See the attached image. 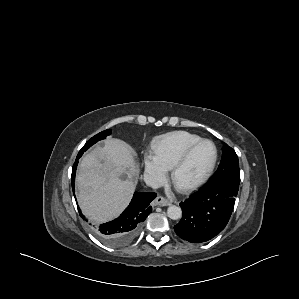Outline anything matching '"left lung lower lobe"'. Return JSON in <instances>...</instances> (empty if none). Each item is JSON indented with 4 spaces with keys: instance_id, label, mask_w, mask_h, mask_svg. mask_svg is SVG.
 Returning <instances> with one entry per match:
<instances>
[{
    "instance_id": "0a47b994",
    "label": "left lung lower lobe",
    "mask_w": 299,
    "mask_h": 299,
    "mask_svg": "<svg viewBox=\"0 0 299 299\" xmlns=\"http://www.w3.org/2000/svg\"><path fill=\"white\" fill-rule=\"evenodd\" d=\"M239 185L207 182L180 204L182 219L174 226L176 234L191 243L206 242L218 235L232 214Z\"/></svg>"
}]
</instances>
